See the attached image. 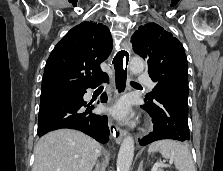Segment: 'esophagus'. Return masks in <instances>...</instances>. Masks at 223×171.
I'll use <instances>...</instances> for the list:
<instances>
[{
  "instance_id": "obj_1",
  "label": "esophagus",
  "mask_w": 223,
  "mask_h": 171,
  "mask_svg": "<svg viewBox=\"0 0 223 171\" xmlns=\"http://www.w3.org/2000/svg\"><path fill=\"white\" fill-rule=\"evenodd\" d=\"M130 61V48L127 44H123L120 51H116L113 56V86L115 96L125 93L128 89L129 72L128 64ZM112 125V124H110ZM113 136L118 144L121 143L126 131L119 125L112 126Z\"/></svg>"
}]
</instances>
